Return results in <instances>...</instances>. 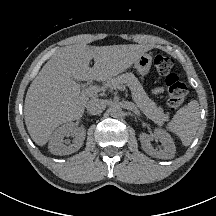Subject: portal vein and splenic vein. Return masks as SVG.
Masks as SVG:
<instances>
[{"label":"portal vein and splenic vein","instance_id":"18ae733b","mask_svg":"<svg viewBox=\"0 0 216 216\" xmlns=\"http://www.w3.org/2000/svg\"><path fill=\"white\" fill-rule=\"evenodd\" d=\"M118 90L124 91L125 87L124 86H117ZM100 91V87L99 86H87L85 88H83L82 92L88 95H93V94H97Z\"/></svg>","mask_w":216,"mask_h":216}]
</instances>
